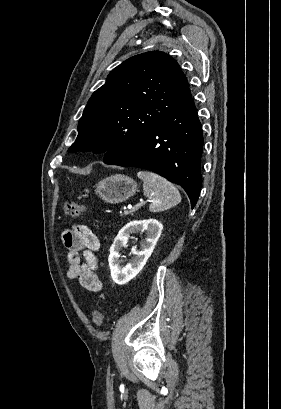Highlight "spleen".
Here are the masks:
<instances>
[{
    "instance_id": "obj_1",
    "label": "spleen",
    "mask_w": 281,
    "mask_h": 409,
    "mask_svg": "<svg viewBox=\"0 0 281 409\" xmlns=\"http://www.w3.org/2000/svg\"><path fill=\"white\" fill-rule=\"evenodd\" d=\"M137 176L143 180V192L145 196H150L151 205L149 211L151 213H159V211H167L181 202V194L178 188H175L172 182L148 170H139Z\"/></svg>"
}]
</instances>
